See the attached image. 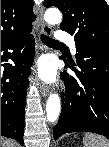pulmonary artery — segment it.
I'll return each instance as SVG.
<instances>
[{
	"label": "pulmonary artery",
	"mask_w": 109,
	"mask_h": 147,
	"mask_svg": "<svg viewBox=\"0 0 109 147\" xmlns=\"http://www.w3.org/2000/svg\"><path fill=\"white\" fill-rule=\"evenodd\" d=\"M55 40L58 41L60 44L61 43H66L68 44V46L70 47V50L73 54L76 53V45H75V41L74 38L67 34V33H63V32H59L55 35Z\"/></svg>",
	"instance_id": "1"
}]
</instances>
